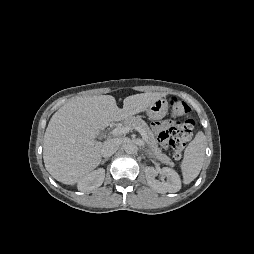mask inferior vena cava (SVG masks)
<instances>
[{
	"label": "inferior vena cava",
	"instance_id": "obj_1",
	"mask_svg": "<svg viewBox=\"0 0 254 254\" xmlns=\"http://www.w3.org/2000/svg\"><path fill=\"white\" fill-rule=\"evenodd\" d=\"M119 144L115 139H108L104 142L103 147L101 149V155L105 158L112 156L116 150L118 149Z\"/></svg>",
	"mask_w": 254,
	"mask_h": 254
}]
</instances>
